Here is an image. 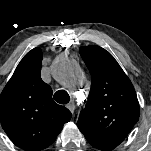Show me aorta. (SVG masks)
<instances>
[{
	"label": "aorta",
	"mask_w": 151,
	"mask_h": 151,
	"mask_svg": "<svg viewBox=\"0 0 151 151\" xmlns=\"http://www.w3.org/2000/svg\"><path fill=\"white\" fill-rule=\"evenodd\" d=\"M75 72H76V68L74 64L66 60L57 62L53 67V73L55 75L73 76L75 75Z\"/></svg>",
	"instance_id": "762f6f07"
}]
</instances>
